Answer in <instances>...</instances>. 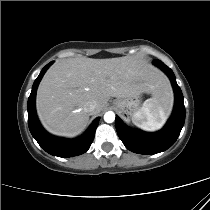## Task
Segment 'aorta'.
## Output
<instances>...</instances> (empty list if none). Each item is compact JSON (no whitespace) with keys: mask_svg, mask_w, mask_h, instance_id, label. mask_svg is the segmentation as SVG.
Wrapping results in <instances>:
<instances>
[{"mask_svg":"<svg viewBox=\"0 0 210 210\" xmlns=\"http://www.w3.org/2000/svg\"><path fill=\"white\" fill-rule=\"evenodd\" d=\"M104 120L107 123H112L115 120V114L112 111H108L104 115Z\"/></svg>","mask_w":210,"mask_h":210,"instance_id":"762f6f07","label":"aorta"}]
</instances>
